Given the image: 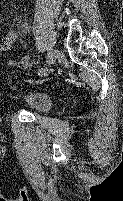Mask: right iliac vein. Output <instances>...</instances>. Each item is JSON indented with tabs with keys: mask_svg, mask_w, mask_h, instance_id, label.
Listing matches in <instances>:
<instances>
[{
	"mask_svg": "<svg viewBox=\"0 0 123 201\" xmlns=\"http://www.w3.org/2000/svg\"><path fill=\"white\" fill-rule=\"evenodd\" d=\"M56 57H57V50L56 49H50L48 52V57H47L48 65L53 64L55 62Z\"/></svg>",
	"mask_w": 123,
	"mask_h": 201,
	"instance_id": "right-iliac-vein-1",
	"label": "right iliac vein"
}]
</instances>
